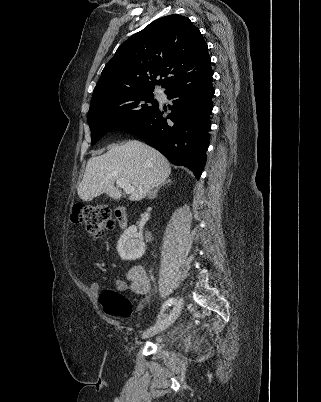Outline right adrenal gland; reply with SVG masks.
<instances>
[{
	"label": "right adrenal gland",
	"mask_w": 321,
	"mask_h": 402,
	"mask_svg": "<svg viewBox=\"0 0 321 402\" xmlns=\"http://www.w3.org/2000/svg\"><path fill=\"white\" fill-rule=\"evenodd\" d=\"M171 184V180L170 179H167L164 183H162L160 186H158L155 190H153V191H150L149 192V194H148V198H155L156 197V194H157V192H158V190L162 187V186H165V185H170Z\"/></svg>",
	"instance_id": "obj_1"
}]
</instances>
